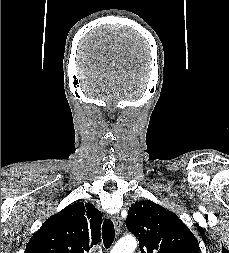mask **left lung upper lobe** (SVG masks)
<instances>
[{"mask_svg": "<svg viewBox=\"0 0 229 253\" xmlns=\"http://www.w3.org/2000/svg\"><path fill=\"white\" fill-rule=\"evenodd\" d=\"M126 227L141 253H200L197 239L176 214L150 200L131 205Z\"/></svg>", "mask_w": 229, "mask_h": 253, "instance_id": "obj_1", "label": "left lung upper lobe"}]
</instances>
